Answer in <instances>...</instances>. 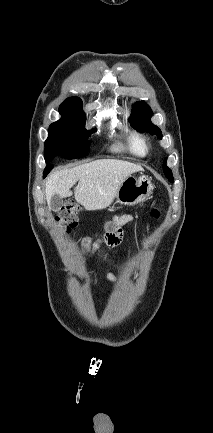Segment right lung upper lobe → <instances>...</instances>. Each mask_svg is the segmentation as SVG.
Instances as JSON below:
<instances>
[{
	"label": "right lung upper lobe",
	"mask_w": 213,
	"mask_h": 433,
	"mask_svg": "<svg viewBox=\"0 0 213 433\" xmlns=\"http://www.w3.org/2000/svg\"><path fill=\"white\" fill-rule=\"evenodd\" d=\"M59 110L86 118L82 110V101L78 97L67 98L60 105Z\"/></svg>",
	"instance_id": "1"
}]
</instances>
